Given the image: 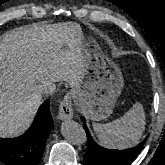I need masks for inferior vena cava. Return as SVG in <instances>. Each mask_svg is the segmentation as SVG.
I'll return each mask as SVG.
<instances>
[{
  "mask_svg": "<svg viewBox=\"0 0 165 165\" xmlns=\"http://www.w3.org/2000/svg\"><path fill=\"white\" fill-rule=\"evenodd\" d=\"M55 90H56V85L50 81L44 82L41 87V93L46 94V95L54 94Z\"/></svg>",
  "mask_w": 165,
  "mask_h": 165,
  "instance_id": "602c4592",
  "label": "inferior vena cava"
}]
</instances>
